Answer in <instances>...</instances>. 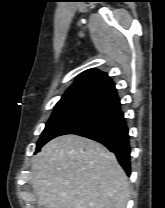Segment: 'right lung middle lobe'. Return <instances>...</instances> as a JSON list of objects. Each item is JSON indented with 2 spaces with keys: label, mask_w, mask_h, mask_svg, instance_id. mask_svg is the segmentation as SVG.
Wrapping results in <instances>:
<instances>
[{
  "label": "right lung middle lobe",
  "mask_w": 165,
  "mask_h": 208,
  "mask_svg": "<svg viewBox=\"0 0 165 208\" xmlns=\"http://www.w3.org/2000/svg\"><path fill=\"white\" fill-rule=\"evenodd\" d=\"M92 108L90 106H55L37 142L36 152L49 140L59 136L65 129L86 115Z\"/></svg>",
  "instance_id": "right-lung-middle-lobe-1"
}]
</instances>
